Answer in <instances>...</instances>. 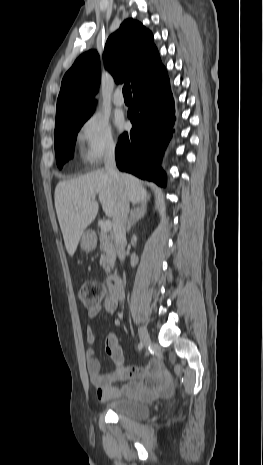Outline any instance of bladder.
I'll return each mask as SVG.
<instances>
[{"label":"bladder","instance_id":"1","mask_svg":"<svg viewBox=\"0 0 263 465\" xmlns=\"http://www.w3.org/2000/svg\"><path fill=\"white\" fill-rule=\"evenodd\" d=\"M104 407L118 416L133 420H144L150 415V408L147 404L131 398L113 399L105 402Z\"/></svg>","mask_w":263,"mask_h":465}]
</instances>
